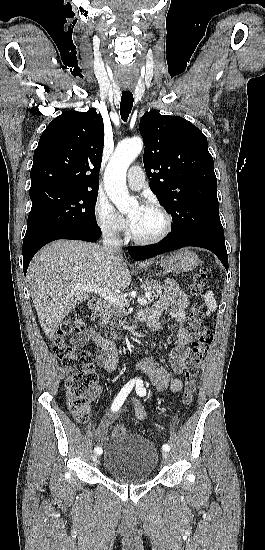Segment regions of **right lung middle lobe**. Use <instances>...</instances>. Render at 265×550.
I'll return each mask as SVG.
<instances>
[{"label": "right lung middle lobe", "instance_id": "obj_1", "mask_svg": "<svg viewBox=\"0 0 265 550\" xmlns=\"http://www.w3.org/2000/svg\"><path fill=\"white\" fill-rule=\"evenodd\" d=\"M32 208L23 241L64 226L97 227V192L53 187L30 190Z\"/></svg>", "mask_w": 265, "mask_h": 550}]
</instances>
